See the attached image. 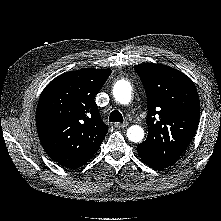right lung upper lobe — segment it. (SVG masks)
Instances as JSON below:
<instances>
[{"label":"right lung upper lobe","instance_id":"obj_1","mask_svg":"<svg viewBox=\"0 0 221 221\" xmlns=\"http://www.w3.org/2000/svg\"><path fill=\"white\" fill-rule=\"evenodd\" d=\"M111 70L84 68L64 73L43 90L36 126L46 153L66 167L85 164L99 149L108 126L101 120L95 95Z\"/></svg>","mask_w":221,"mask_h":221}]
</instances>
